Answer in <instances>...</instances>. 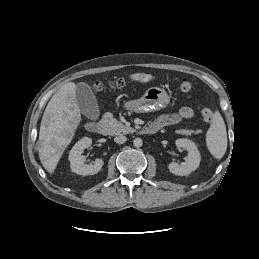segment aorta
I'll return each mask as SVG.
<instances>
[{"mask_svg":"<svg viewBox=\"0 0 259 259\" xmlns=\"http://www.w3.org/2000/svg\"><path fill=\"white\" fill-rule=\"evenodd\" d=\"M142 144H143V141H142L141 138H135V139L133 140V145H134L135 147H141Z\"/></svg>","mask_w":259,"mask_h":259,"instance_id":"1","label":"aorta"}]
</instances>
